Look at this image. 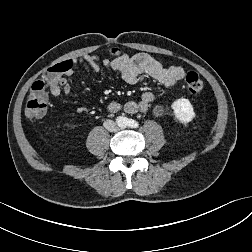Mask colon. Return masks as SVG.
I'll use <instances>...</instances> for the list:
<instances>
[{
	"label": "colon",
	"mask_w": 252,
	"mask_h": 252,
	"mask_svg": "<svg viewBox=\"0 0 252 252\" xmlns=\"http://www.w3.org/2000/svg\"><path fill=\"white\" fill-rule=\"evenodd\" d=\"M115 54L116 51L113 50ZM68 70L65 62L58 63L48 69L42 79L35 81L31 86L30 95L25 105V115L28 119H40L47 110V93L48 87L59 82L61 75ZM185 82L189 93L193 95L200 94L205 89V82L195 72H188L185 76Z\"/></svg>",
	"instance_id": "colon-1"
}]
</instances>
